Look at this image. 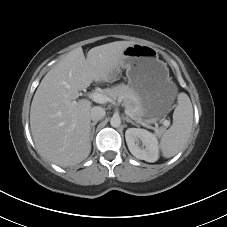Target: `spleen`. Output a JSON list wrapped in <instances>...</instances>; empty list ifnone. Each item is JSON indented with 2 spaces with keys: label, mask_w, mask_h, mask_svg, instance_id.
<instances>
[{
  "label": "spleen",
  "mask_w": 227,
  "mask_h": 227,
  "mask_svg": "<svg viewBox=\"0 0 227 227\" xmlns=\"http://www.w3.org/2000/svg\"><path fill=\"white\" fill-rule=\"evenodd\" d=\"M178 105L173 113L172 126L163 133L160 148L165 158H170L179 153L187 144L193 125V108L190 98L186 93H179Z\"/></svg>",
  "instance_id": "obj_1"
}]
</instances>
